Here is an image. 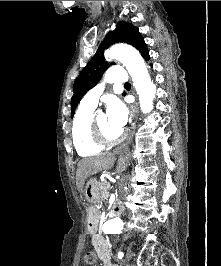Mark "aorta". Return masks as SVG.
<instances>
[{
  "instance_id": "762f6f07",
  "label": "aorta",
  "mask_w": 221,
  "mask_h": 266,
  "mask_svg": "<svg viewBox=\"0 0 221 266\" xmlns=\"http://www.w3.org/2000/svg\"><path fill=\"white\" fill-rule=\"evenodd\" d=\"M105 57L109 61L118 60L126 66L139 96L140 108L144 113H149L153 109L156 86L151 81L139 52L132 47L116 44L105 52ZM123 228L124 224L120 218H111L102 225L103 231L108 234H120Z\"/></svg>"
}]
</instances>
